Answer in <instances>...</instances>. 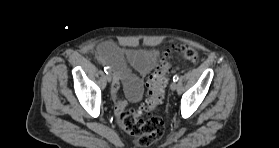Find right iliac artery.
I'll list each match as a JSON object with an SVG mask.
<instances>
[{"label":"right iliac artery","instance_id":"obj_1","mask_svg":"<svg viewBox=\"0 0 279 148\" xmlns=\"http://www.w3.org/2000/svg\"><path fill=\"white\" fill-rule=\"evenodd\" d=\"M104 71L106 74L111 73V69L109 67H104Z\"/></svg>","mask_w":279,"mask_h":148}]
</instances>
